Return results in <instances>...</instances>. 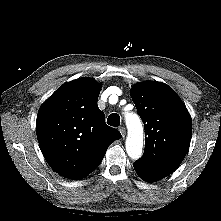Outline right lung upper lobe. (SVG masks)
<instances>
[{
	"instance_id": "1",
	"label": "right lung upper lobe",
	"mask_w": 221,
	"mask_h": 221,
	"mask_svg": "<svg viewBox=\"0 0 221 221\" xmlns=\"http://www.w3.org/2000/svg\"><path fill=\"white\" fill-rule=\"evenodd\" d=\"M101 84L81 78L63 84L40 107L37 139L42 153L59 175L78 180L101 163L108 146L121 138L105 124L97 100Z\"/></svg>"
}]
</instances>
